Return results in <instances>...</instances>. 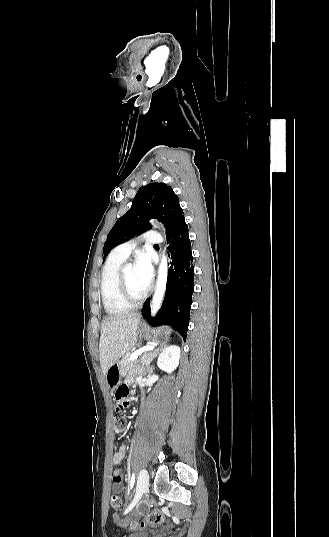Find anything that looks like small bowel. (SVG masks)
Returning <instances> with one entry per match:
<instances>
[{"instance_id":"c3829d8e","label":"small bowel","mask_w":329,"mask_h":537,"mask_svg":"<svg viewBox=\"0 0 329 537\" xmlns=\"http://www.w3.org/2000/svg\"><path fill=\"white\" fill-rule=\"evenodd\" d=\"M129 394H130L129 383L127 381H120L118 383V387L115 391V397L113 399L116 413H121L128 409ZM125 454H126V447L122 445L115 451L113 458H112L113 463L115 465L121 463V461L125 457ZM113 483H114V489L116 491L123 490V474L120 469L114 470Z\"/></svg>"}]
</instances>
